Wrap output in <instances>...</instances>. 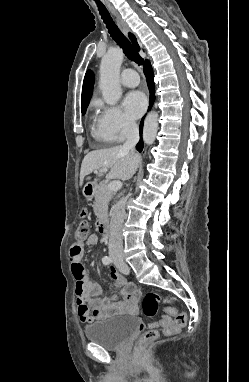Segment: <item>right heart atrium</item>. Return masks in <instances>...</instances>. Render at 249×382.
<instances>
[{"label":"right heart atrium","mask_w":249,"mask_h":382,"mask_svg":"<svg viewBox=\"0 0 249 382\" xmlns=\"http://www.w3.org/2000/svg\"><path fill=\"white\" fill-rule=\"evenodd\" d=\"M97 106L99 108L97 124L108 140L122 141L136 131V122L120 107L103 103H99Z\"/></svg>","instance_id":"right-heart-atrium-1"}]
</instances>
